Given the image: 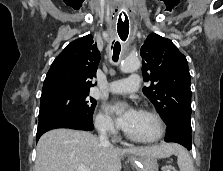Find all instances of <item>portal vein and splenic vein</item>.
Instances as JSON below:
<instances>
[{"label": "portal vein and splenic vein", "mask_w": 223, "mask_h": 171, "mask_svg": "<svg viewBox=\"0 0 223 171\" xmlns=\"http://www.w3.org/2000/svg\"><path fill=\"white\" fill-rule=\"evenodd\" d=\"M76 169H77V171H91L85 165H81V164L76 165Z\"/></svg>", "instance_id": "1"}]
</instances>
